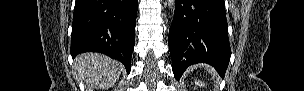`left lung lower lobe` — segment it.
Returning <instances> with one entry per match:
<instances>
[{
  "label": "left lung lower lobe",
  "mask_w": 304,
  "mask_h": 91,
  "mask_svg": "<svg viewBox=\"0 0 304 91\" xmlns=\"http://www.w3.org/2000/svg\"><path fill=\"white\" fill-rule=\"evenodd\" d=\"M169 50L176 79L201 62L214 66L223 77L231 57L225 1L176 0Z\"/></svg>",
  "instance_id": "left-lung-lower-lobe-1"
}]
</instances>
